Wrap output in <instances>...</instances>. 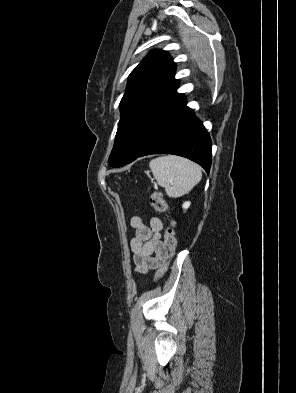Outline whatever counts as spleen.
I'll return each instance as SVG.
<instances>
[{
    "mask_svg": "<svg viewBox=\"0 0 296 393\" xmlns=\"http://www.w3.org/2000/svg\"><path fill=\"white\" fill-rule=\"evenodd\" d=\"M149 167L158 185L172 198L181 197L199 183L202 171L196 163L174 155L152 159Z\"/></svg>",
    "mask_w": 296,
    "mask_h": 393,
    "instance_id": "1",
    "label": "spleen"
}]
</instances>
